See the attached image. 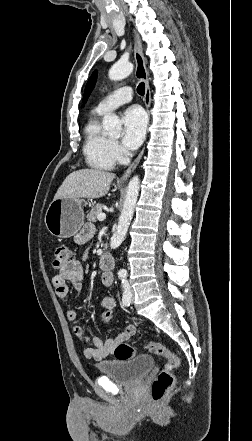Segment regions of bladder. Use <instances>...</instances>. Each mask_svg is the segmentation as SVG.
<instances>
[{
	"label": "bladder",
	"mask_w": 252,
	"mask_h": 441,
	"mask_svg": "<svg viewBox=\"0 0 252 441\" xmlns=\"http://www.w3.org/2000/svg\"><path fill=\"white\" fill-rule=\"evenodd\" d=\"M150 355H138L127 359H112L97 364L99 372L122 384H133L142 379L153 367Z\"/></svg>",
	"instance_id": "31cf9c89"
}]
</instances>
